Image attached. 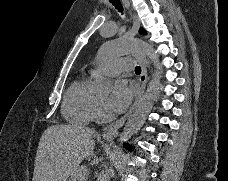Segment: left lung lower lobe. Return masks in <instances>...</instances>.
Instances as JSON below:
<instances>
[{
	"mask_svg": "<svg viewBox=\"0 0 228 181\" xmlns=\"http://www.w3.org/2000/svg\"><path fill=\"white\" fill-rule=\"evenodd\" d=\"M126 148H127V149H130V147H129V146H127V145H126Z\"/></svg>",
	"mask_w": 228,
	"mask_h": 181,
	"instance_id": "1",
	"label": "left lung lower lobe"
}]
</instances>
